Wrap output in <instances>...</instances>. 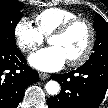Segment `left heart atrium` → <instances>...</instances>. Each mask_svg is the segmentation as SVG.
Wrapping results in <instances>:
<instances>
[{
    "label": "left heart atrium",
    "instance_id": "left-heart-atrium-1",
    "mask_svg": "<svg viewBox=\"0 0 108 108\" xmlns=\"http://www.w3.org/2000/svg\"><path fill=\"white\" fill-rule=\"evenodd\" d=\"M66 62L64 53L56 46L39 50L29 57V63L34 68L44 72L60 70Z\"/></svg>",
    "mask_w": 108,
    "mask_h": 108
}]
</instances>
